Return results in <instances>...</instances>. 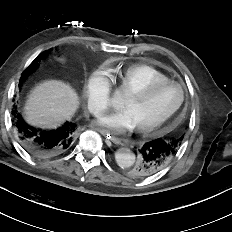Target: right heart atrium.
<instances>
[{"instance_id": "obj_1", "label": "right heart atrium", "mask_w": 232, "mask_h": 232, "mask_svg": "<svg viewBox=\"0 0 232 232\" xmlns=\"http://www.w3.org/2000/svg\"><path fill=\"white\" fill-rule=\"evenodd\" d=\"M111 84L107 73L98 70L86 82L84 96L88 110L93 115L106 111L111 104Z\"/></svg>"}]
</instances>
